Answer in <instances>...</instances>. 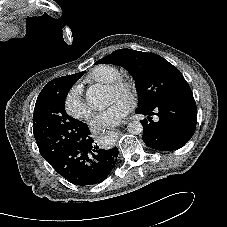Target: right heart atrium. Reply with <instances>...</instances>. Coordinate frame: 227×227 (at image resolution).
<instances>
[{
	"label": "right heart atrium",
	"instance_id": "right-heart-atrium-1",
	"mask_svg": "<svg viewBox=\"0 0 227 227\" xmlns=\"http://www.w3.org/2000/svg\"><path fill=\"white\" fill-rule=\"evenodd\" d=\"M64 109L75 119H85L91 115L92 110L83 96L80 85H74L67 91L64 97Z\"/></svg>",
	"mask_w": 227,
	"mask_h": 227
}]
</instances>
